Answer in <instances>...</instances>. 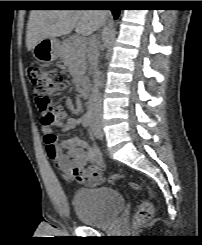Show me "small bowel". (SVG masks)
<instances>
[{
    "label": "small bowel",
    "mask_w": 202,
    "mask_h": 245,
    "mask_svg": "<svg viewBox=\"0 0 202 245\" xmlns=\"http://www.w3.org/2000/svg\"><path fill=\"white\" fill-rule=\"evenodd\" d=\"M82 109V101L77 99L74 111L78 113ZM54 114L58 119L63 120L62 125L65 130H72L82 124V117L68 119L65 111L60 107L55 108ZM41 129L48 155L56 162L66 179L87 187L96 186L101 182L102 159L97 146L89 145L79 137L68 138L59 142L57 135L52 130V124L41 122ZM53 147L57 149L55 156H51L50 152ZM63 149H66L68 153H64Z\"/></svg>",
    "instance_id": "obj_1"
}]
</instances>
